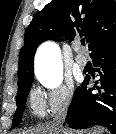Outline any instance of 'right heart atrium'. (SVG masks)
Segmentation results:
<instances>
[{"instance_id":"1","label":"right heart atrium","mask_w":116,"mask_h":134,"mask_svg":"<svg viewBox=\"0 0 116 134\" xmlns=\"http://www.w3.org/2000/svg\"><path fill=\"white\" fill-rule=\"evenodd\" d=\"M33 94L40 101L43 112L53 116L66 111L70 107L74 89L72 84L65 83L47 91L37 89Z\"/></svg>"}]
</instances>
